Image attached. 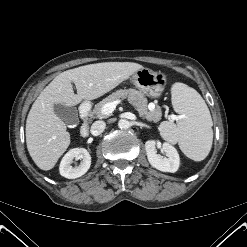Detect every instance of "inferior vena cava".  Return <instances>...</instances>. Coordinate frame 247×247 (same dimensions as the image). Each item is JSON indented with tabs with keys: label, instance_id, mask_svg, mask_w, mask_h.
<instances>
[{
	"label": "inferior vena cava",
	"instance_id": "1",
	"mask_svg": "<svg viewBox=\"0 0 247 247\" xmlns=\"http://www.w3.org/2000/svg\"><path fill=\"white\" fill-rule=\"evenodd\" d=\"M106 124L104 121H95L91 126V134L94 136L100 135L105 130Z\"/></svg>",
	"mask_w": 247,
	"mask_h": 247
}]
</instances>
